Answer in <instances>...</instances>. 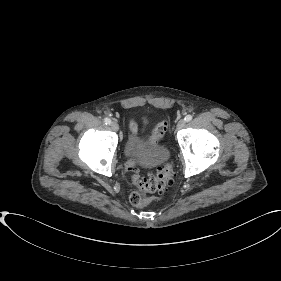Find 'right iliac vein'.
<instances>
[{
    "instance_id": "63e3f726",
    "label": "right iliac vein",
    "mask_w": 281,
    "mask_h": 281,
    "mask_svg": "<svg viewBox=\"0 0 281 281\" xmlns=\"http://www.w3.org/2000/svg\"><path fill=\"white\" fill-rule=\"evenodd\" d=\"M110 126H111V129L113 131H118L119 130V125L116 122H111Z\"/></svg>"
}]
</instances>
